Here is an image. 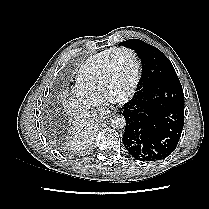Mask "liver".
Returning <instances> with one entry per match:
<instances>
[{"label": "liver", "mask_w": 209, "mask_h": 209, "mask_svg": "<svg viewBox=\"0 0 209 209\" xmlns=\"http://www.w3.org/2000/svg\"><path fill=\"white\" fill-rule=\"evenodd\" d=\"M64 109L67 111L69 120L73 126L70 143L80 145L84 143L93 129V122L88 113L82 109L81 105L75 100H63Z\"/></svg>", "instance_id": "liver-1"}]
</instances>
